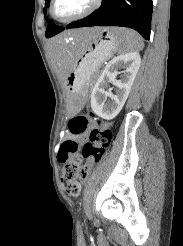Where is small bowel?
Returning a JSON list of instances; mask_svg holds the SVG:
<instances>
[{
    "mask_svg": "<svg viewBox=\"0 0 183 246\" xmlns=\"http://www.w3.org/2000/svg\"><path fill=\"white\" fill-rule=\"evenodd\" d=\"M85 135L83 134H74L70 131V133H68L66 136H65V139L68 140H73L75 142H79V141H83L85 140Z\"/></svg>",
    "mask_w": 183,
    "mask_h": 246,
    "instance_id": "c3829d8e",
    "label": "small bowel"
}]
</instances>
